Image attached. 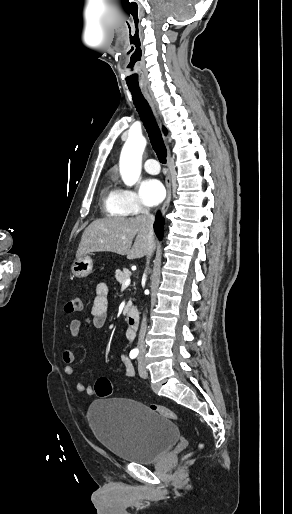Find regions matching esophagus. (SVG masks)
<instances>
[{"label":"esophagus","instance_id":"34e87169","mask_svg":"<svg viewBox=\"0 0 292 514\" xmlns=\"http://www.w3.org/2000/svg\"><path fill=\"white\" fill-rule=\"evenodd\" d=\"M142 92L144 93V95L146 96L147 100L149 101L150 105L152 106V109L158 119V116H157V113L155 111V107H154V104L148 94V91L147 90H142ZM170 159V152H168V161ZM165 184H166V188H167V198L164 202V204L162 205V208H161V213L164 214L166 212V210L168 209L169 205H170V200H171V179H170V176L167 175L166 177V180H165Z\"/></svg>","mask_w":292,"mask_h":514}]
</instances>
